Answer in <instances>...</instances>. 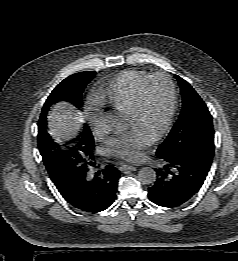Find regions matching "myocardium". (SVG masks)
<instances>
[{
  "label": "myocardium",
  "mask_w": 238,
  "mask_h": 261,
  "mask_svg": "<svg viewBox=\"0 0 238 261\" xmlns=\"http://www.w3.org/2000/svg\"><path fill=\"white\" fill-rule=\"evenodd\" d=\"M156 79H162L166 83V85L168 87V91H169L170 105H169L168 114L165 118L163 125L153 136L154 141L159 140L161 137H163L167 133V131L172 126V123H173V120L175 117V113H176V109H177V89H176V85H175L172 77L163 72L150 74L139 85L137 92H136L134 102H133L132 106L130 107V109L128 110L129 113H132L134 115H139L141 113V111L143 109L146 89L149 86V84Z\"/></svg>",
  "instance_id": "obj_1"
}]
</instances>
